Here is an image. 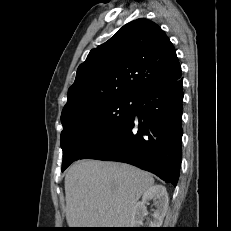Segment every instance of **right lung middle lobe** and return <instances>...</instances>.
Masks as SVG:
<instances>
[{
	"label": "right lung middle lobe",
	"mask_w": 231,
	"mask_h": 231,
	"mask_svg": "<svg viewBox=\"0 0 231 231\" xmlns=\"http://www.w3.org/2000/svg\"><path fill=\"white\" fill-rule=\"evenodd\" d=\"M136 97H117L61 116L62 171L121 128L135 112Z\"/></svg>",
	"instance_id": "1"
}]
</instances>
